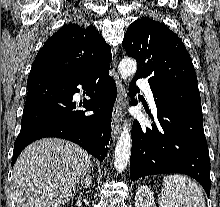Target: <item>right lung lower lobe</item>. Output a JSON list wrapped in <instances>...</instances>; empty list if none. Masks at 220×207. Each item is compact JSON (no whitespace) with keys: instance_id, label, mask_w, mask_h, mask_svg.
Instances as JSON below:
<instances>
[{"instance_id":"98d812e1","label":"right lung lower lobe","mask_w":220,"mask_h":207,"mask_svg":"<svg viewBox=\"0 0 220 207\" xmlns=\"http://www.w3.org/2000/svg\"><path fill=\"white\" fill-rule=\"evenodd\" d=\"M109 63H100L80 76L42 72L30 74L20 133L14 143L12 166L21 151L35 140L58 137L72 141L103 161L111 135V117L117 96ZM78 85L89 89L90 100L76 110L73 95ZM79 106H82L80 104Z\"/></svg>"}]
</instances>
